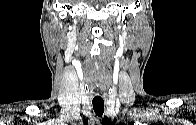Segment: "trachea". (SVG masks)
<instances>
[{
  "label": "trachea",
  "instance_id": "trachea-1",
  "mask_svg": "<svg viewBox=\"0 0 196 125\" xmlns=\"http://www.w3.org/2000/svg\"><path fill=\"white\" fill-rule=\"evenodd\" d=\"M92 104L96 115L102 116L104 113V101L100 99H93Z\"/></svg>",
  "mask_w": 196,
  "mask_h": 125
}]
</instances>
